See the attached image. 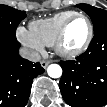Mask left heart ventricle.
Segmentation results:
<instances>
[{
  "mask_svg": "<svg viewBox=\"0 0 107 107\" xmlns=\"http://www.w3.org/2000/svg\"><path fill=\"white\" fill-rule=\"evenodd\" d=\"M88 33V25L82 18L74 19L67 30L64 47L67 50H74L80 47Z\"/></svg>",
  "mask_w": 107,
  "mask_h": 107,
  "instance_id": "b2bd125f",
  "label": "left heart ventricle"
}]
</instances>
